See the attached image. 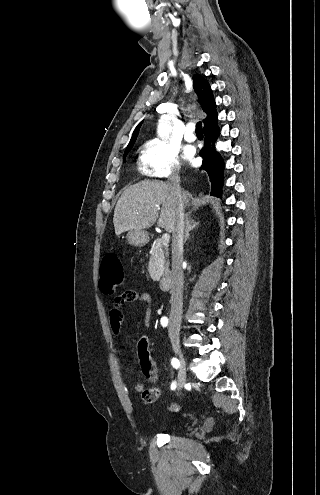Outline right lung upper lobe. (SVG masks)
I'll return each instance as SVG.
<instances>
[{"instance_id": "right-lung-upper-lobe-1", "label": "right lung upper lobe", "mask_w": 320, "mask_h": 495, "mask_svg": "<svg viewBox=\"0 0 320 495\" xmlns=\"http://www.w3.org/2000/svg\"><path fill=\"white\" fill-rule=\"evenodd\" d=\"M192 79H193L194 90L198 96V101L203 111L207 114V117L204 119V128H205L209 125L216 123L218 120L217 118L218 114L216 112V103L207 79H205V77L200 74H195ZM141 124L142 122H140L135 128L126 150L131 149V147L134 145Z\"/></svg>"}]
</instances>
